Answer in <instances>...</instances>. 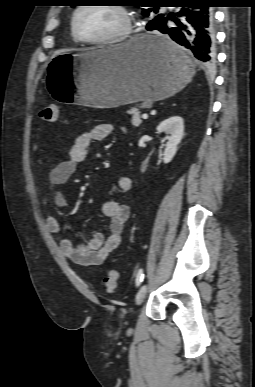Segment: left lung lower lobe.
<instances>
[{"label": "left lung lower lobe", "mask_w": 255, "mask_h": 387, "mask_svg": "<svg viewBox=\"0 0 255 387\" xmlns=\"http://www.w3.org/2000/svg\"><path fill=\"white\" fill-rule=\"evenodd\" d=\"M170 7H182L174 16H161L150 21L146 29L153 31L150 45L153 49L179 64L184 63L180 45L190 50L204 67L215 61V28L210 0H174ZM174 22L175 26H171ZM161 33L166 38H161Z\"/></svg>", "instance_id": "1"}]
</instances>
